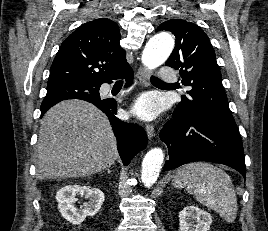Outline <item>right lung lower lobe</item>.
Instances as JSON below:
<instances>
[{"mask_svg":"<svg viewBox=\"0 0 268 231\" xmlns=\"http://www.w3.org/2000/svg\"><path fill=\"white\" fill-rule=\"evenodd\" d=\"M116 78H125L126 86H130L133 80L132 68L127 65ZM83 100L94 104L107 115L117 139V149L119 155L123 164L127 166L133 156L147 146V135L145 130L137 124L127 123L119 120L116 117L117 102L113 99L101 100L99 95V97ZM46 111L47 110L41 111V116H43Z\"/></svg>","mask_w":268,"mask_h":231,"instance_id":"obj_1","label":"right lung lower lobe"}]
</instances>
